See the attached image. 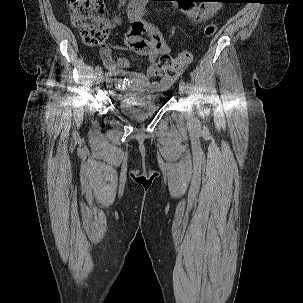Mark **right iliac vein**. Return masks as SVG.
I'll list each match as a JSON object with an SVG mask.
<instances>
[{
  "instance_id": "63e3f726",
  "label": "right iliac vein",
  "mask_w": 303,
  "mask_h": 303,
  "mask_svg": "<svg viewBox=\"0 0 303 303\" xmlns=\"http://www.w3.org/2000/svg\"><path fill=\"white\" fill-rule=\"evenodd\" d=\"M112 84H113L112 78H110V77L107 78V79H106V87H107V88H111Z\"/></svg>"
}]
</instances>
